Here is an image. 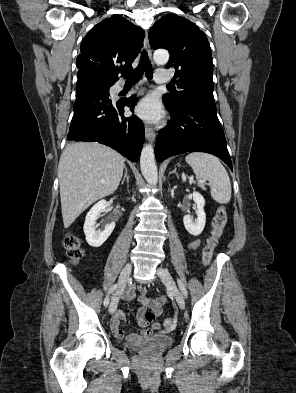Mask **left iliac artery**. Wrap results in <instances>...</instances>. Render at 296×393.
Masks as SVG:
<instances>
[{"instance_id":"1","label":"left iliac artery","mask_w":296,"mask_h":393,"mask_svg":"<svg viewBox=\"0 0 296 393\" xmlns=\"http://www.w3.org/2000/svg\"><path fill=\"white\" fill-rule=\"evenodd\" d=\"M177 283H178V286H179L183 296L185 298H187L188 292H187V289H186V286H185L184 282L182 280H180V279H177Z\"/></svg>"}]
</instances>
